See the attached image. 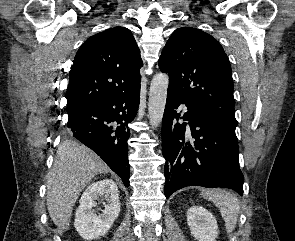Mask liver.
<instances>
[{
    "label": "liver",
    "instance_id": "1",
    "mask_svg": "<svg viewBox=\"0 0 295 241\" xmlns=\"http://www.w3.org/2000/svg\"><path fill=\"white\" fill-rule=\"evenodd\" d=\"M109 172L108 166L92 150L65 140L47 177V209L53 223L67 230L73 206L95 175Z\"/></svg>",
    "mask_w": 295,
    "mask_h": 241
}]
</instances>
